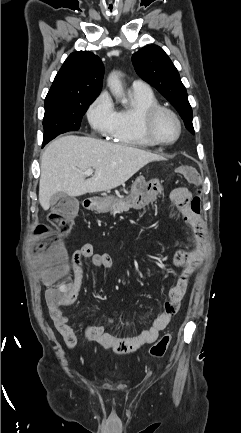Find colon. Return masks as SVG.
<instances>
[{
	"mask_svg": "<svg viewBox=\"0 0 241 433\" xmlns=\"http://www.w3.org/2000/svg\"><path fill=\"white\" fill-rule=\"evenodd\" d=\"M180 177H189V181L198 184L201 181L200 176L195 175L194 168H180L178 171ZM194 211L200 210V197L196 195L192 202ZM70 214H78V205L76 200H57L53 207L51 216L52 221L57 225L60 231H66L71 223ZM37 241L35 243L36 259L40 267L44 282L48 286L46 299L50 306H56L61 301L70 296L72 288L66 278L67 260L65 257V248L62 240L54 236L47 228H42L36 232ZM188 279L181 277L179 287L187 286ZM107 323H118V320L109 319ZM171 343V335H163L151 348L149 354L153 358H162ZM115 350L124 349L125 342H110Z\"/></svg>",
	"mask_w": 241,
	"mask_h": 433,
	"instance_id": "5ec220e1",
	"label": "colon"
}]
</instances>
